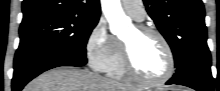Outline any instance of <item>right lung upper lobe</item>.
Returning <instances> with one entry per match:
<instances>
[{"mask_svg":"<svg viewBox=\"0 0 220 91\" xmlns=\"http://www.w3.org/2000/svg\"><path fill=\"white\" fill-rule=\"evenodd\" d=\"M22 23L55 15L100 17L99 0H24Z\"/></svg>","mask_w":220,"mask_h":91,"instance_id":"right-lung-upper-lobe-1","label":"right lung upper lobe"}]
</instances>
